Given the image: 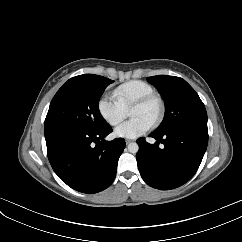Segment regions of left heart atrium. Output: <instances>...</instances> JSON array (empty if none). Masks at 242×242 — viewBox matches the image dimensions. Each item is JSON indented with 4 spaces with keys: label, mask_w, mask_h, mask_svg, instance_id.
<instances>
[{
    "label": "left heart atrium",
    "mask_w": 242,
    "mask_h": 242,
    "mask_svg": "<svg viewBox=\"0 0 242 242\" xmlns=\"http://www.w3.org/2000/svg\"><path fill=\"white\" fill-rule=\"evenodd\" d=\"M150 128L151 124L149 122L143 118L134 117L118 125L114 130V134L117 137L133 139L141 136Z\"/></svg>",
    "instance_id": "39dd6f15"
}]
</instances>
